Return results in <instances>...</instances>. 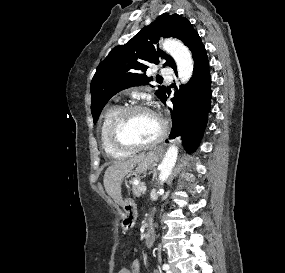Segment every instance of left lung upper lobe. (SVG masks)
Segmentation results:
<instances>
[{
    "label": "left lung upper lobe",
    "instance_id": "1",
    "mask_svg": "<svg viewBox=\"0 0 285 273\" xmlns=\"http://www.w3.org/2000/svg\"><path fill=\"white\" fill-rule=\"evenodd\" d=\"M194 31L188 19L178 14L164 13L126 44L116 46L100 63L91 81V112L94 123L103 107L116 93L152 80L145 75L150 64H158L160 59H164V66H175L170 55L158 48L156 50L155 44L160 37H174L187 45ZM155 95L162 101L166 96L165 87H159Z\"/></svg>",
    "mask_w": 285,
    "mask_h": 273
}]
</instances>
